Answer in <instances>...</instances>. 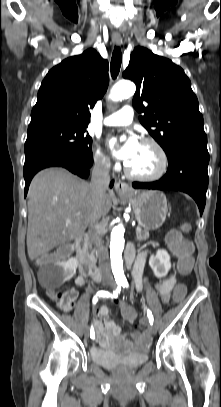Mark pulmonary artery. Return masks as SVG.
<instances>
[{"label":"pulmonary artery","instance_id":"pulmonary-artery-1","mask_svg":"<svg viewBox=\"0 0 221 407\" xmlns=\"http://www.w3.org/2000/svg\"><path fill=\"white\" fill-rule=\"evenodd\" d=\"M134 116L133 108L129 105L122 107L117 112L104 119L107 126H125L132 122Z\"/></svg>","mask_w":221,"mask_h":407}]
</instances>
